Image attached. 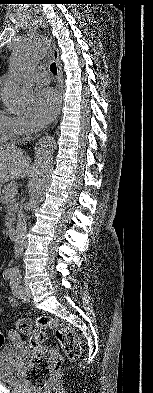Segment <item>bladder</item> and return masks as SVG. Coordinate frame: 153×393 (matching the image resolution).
I'll list each match as a JSON object with an SVG mask.
<instances>
[{"label": "bladder", "mask_w": 153, "mask_h": 393, "mask_svg": "<svg viewBox=\"0 0 153 393\" xmlns=\"http://www.w3.org/2000/svg\"><path fill=\"white\" fill-rule=\"evenodd\" d=\"M21 363L16 360V352L12 347L0 350V381L15 385L19 382Z\"/></svg>", "instance_id": "31cf9c89"}]
</instances>
